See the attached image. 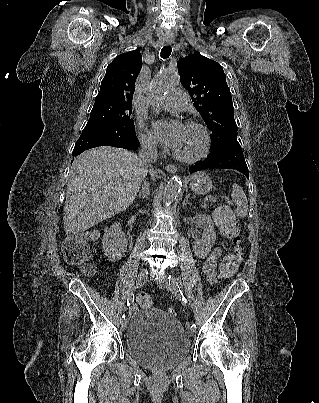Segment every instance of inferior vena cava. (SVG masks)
<instances>
[{
	"label": "inferior vena cava",
	"instance_id": "obj_1",
	"mask_svg": "<svg viewBox=\"0 0 319 403\" xmlns=\"http://www.w3.org/2000/svg\"><path fill=\"white\" fill-rule=\"evenodd\" d=\"M141 150L139 157L141 162L146 166H151L157 160V146L156 142L150 139H141Z\"/></svg>",
	"mask_w": 319,
	"mask_h": 403
}]
</instances>
